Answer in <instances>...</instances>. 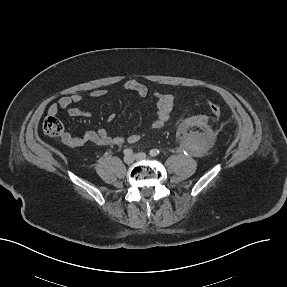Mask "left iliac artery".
I'll return each mask as SVG.
<instances>
[{
	"label": "left iliac artery",
	"instance_id": "left-iliac-artery-1",
	"mask_svg": "<svg viewBox=\"0 0 287 287\" xmlns=\"http://www.w3.org/2000/svg\"><path fill=\"white\" fill-rule=\"evenodd\" d=\"M159 154V150L158 149H152V150H150V152H149V155L151 156V157H155V156H157Z\"/></svg>",
	"mask_w": 287,
	"mask_h": 287
}]
</instances>
